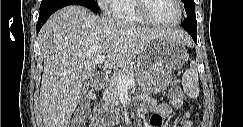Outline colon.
<instances>
[{
	"instance_id": "1",
	"label": "colon",
	"mask_w": 243,
	"mask_h": 127,
	"mask_svg": "<svg viewBox=\"0 0 243 127\" xmlns=\"http://www.w3.org/2000/svg\"><path fill=\"white\" fill-rule=\"evenodd\" d=\"M172 97L183 98L178 81H174L170 89ZM87 117V111L84 108H78L75 113L76 126H83V123Z\"/></svg>"
}]
</instances>
